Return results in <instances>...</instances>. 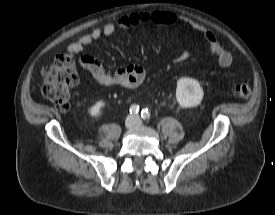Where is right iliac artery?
I'll return each instance as SVG.
<instances>
[{
    "instance_id": "82829eb1",
    "label": "right iliac artery",
    "mask_w": 275,
    "mask_h": 215,
    "mask_svg": "<svg viewBox=\"0 0 275 215\" xmlns=\"http://www.w3.org/2000/svg\"><path fill=\"white\" fill-rule=\"evenodd\" d=\"M130 114H137L139 112V106L138 105H132L130 107Z\"/></svg>"
}]
</instances>
